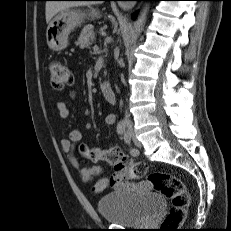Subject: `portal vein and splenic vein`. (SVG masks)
I'll return each mask as SVG.
<instances>
[{
    "mask_svg": "<svg viewBox=\"0 0 231 231\" xmlns=\"http://www.w3.org/2000/svg\"><path fill=\"white\" fill-rule=\"evenodd\" d=\"M93 50H94V51H98V50H99L98 46H97V45H94Z\"/></svg>",
    "mask_w": 231,
    "mask_h": 231,
    "instance_id": "obj_1",
    "label": "portal vein and splenic vein"
}]
</instances>
